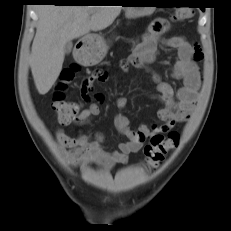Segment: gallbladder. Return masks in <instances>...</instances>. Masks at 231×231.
<instances>
[{
    "label": "gallbladder",
    "instance_id": "gallbladder-1",
    "mask_svg": "<svg viewBox=\"0 0 231 231\" xmlns=\"http://www.w3.org/2000/svg\"><path fill=\"white\" fill-rule=\"evenodd\" d=\"M72 47H73L72 42H71V41H68V42L65 44V46H64V52H65L66 54H69V53L71 52V50H72Z\"/></svg>",
    "mask_w": 231,
    "mask_h": 231
}]
</instances>
